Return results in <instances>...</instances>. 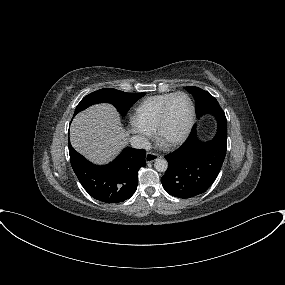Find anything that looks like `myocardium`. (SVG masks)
Instances as JSON below:
<instances>
[{
    "instance_id": "f54148a6",
    "label": "myocardium",
    "mask_w": 285,
    "mask_h": 285,
    "mask_svg": "<svg viewBox=\"0 0 285 285\" xmlns=\"http://www.w3.org/2000/svg\"><path fill=\"white\" fill-rule=\"evenodd\" d=\"M185 96L190 103V107H191V114H190V118L189 121L185 127V129L183 130V132L176 138L173 139H164L163 138V129L166 125L167 119H168V113H169V108L170 105L172 103V101L177 97V96ZM195 119H196V107L194 104V101L192 100V98L190 97V95L186 92L183 91H179V92H175L165 103L162 112L160 114L159 120L157 122V125L155 127V135L157 140L164 145L165 147H176L180 144H182L183 142L186 141V139L189 137L193 126L195 124Z\"/></svg>"
}]
</instances>
